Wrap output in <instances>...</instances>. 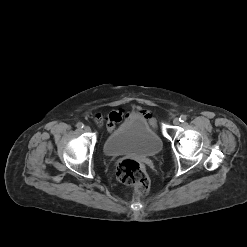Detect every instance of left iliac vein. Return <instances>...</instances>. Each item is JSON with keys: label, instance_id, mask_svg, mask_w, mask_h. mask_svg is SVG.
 Returning <instances> with one entry per match:
<instances>
[{"label": "left iliac vein", "instance_id": "obj_1", "mask_svg": "<svg viewBox=\"0 0 247 247\" xmlns=\"http://www.w3.org/2000/svg\"><path fill=\"white\" fill-rule=\"evenodd\" d=\"M173 124H174V125H179V124H180L179 119H178V118H175V119L173 120Z\"/></svg>", "mask_w": 247, "mask_h": 247}]
</instances>
